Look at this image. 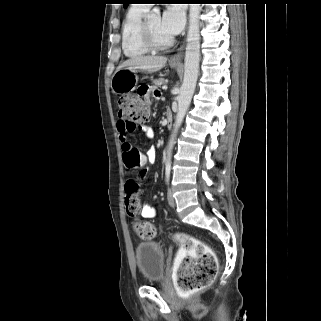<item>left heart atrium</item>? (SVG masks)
I'll return each instance as SVG.
<instances>
[{
  "label": "left heart atrium",
  "mask_w": 321,
  "mask_h": 321,
  "mask_svg": "<svg viewBox=\"0 0 321 321\" xmlns=\"http://www.w3.org/2000/svg\"><path fill=\"white\" fill-rule=\"evenodd\" d=\"M185 24V12L182 6L169 5L163 12L160 25L161 28L170 36L179 34Z\"/></svg>",
  "instance_id": "obj_1"
}]
</instances>
